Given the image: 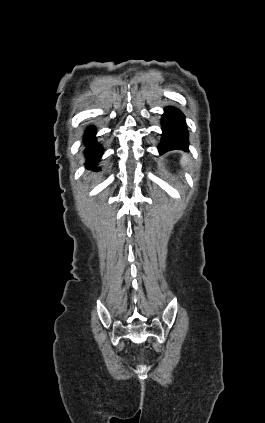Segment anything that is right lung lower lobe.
I'll return each mask as SVG.
<instances>
[{
    "label": "right lung lower lobe",
    "instance_id": "right-lung-lower-lobe-1",
    "mask_svg": "<svg viewBox=\"0 0 265 423\" xmlns=\"http://www.w3.org/2000/svg\"><path fill=\"white\" fill-rule=\"evenodd\" d=\"M95 134L94 127L87 129L85 133V142L87 144L85 154L87 156V163L92 165L98 162L103 153L102 147L96 141Z\"/></svg>",
    "mask_w": 265,
    "mask_h": 423
}]
</instances>
